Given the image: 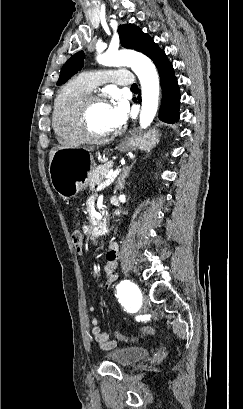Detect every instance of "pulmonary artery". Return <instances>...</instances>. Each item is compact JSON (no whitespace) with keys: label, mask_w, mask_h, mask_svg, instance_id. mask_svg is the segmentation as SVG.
<instances>
[{"label":"pulmonary artery","mask_w":243,"mask_h":409,"mask_svg":"<svg viewBox=\"0 0 243 409\" xmlns=\"http://www.w3.org/2000/svg\"><path fill=\"white\" fill-rule=\"evenodd\" d=\"M81 80L93 89L100 84L112 82L120 86H132L134 79L126 70H103L97 72H85L80 75Z\"/></svg>","instance_id":"e3ab8cb5"}]
</instances>
